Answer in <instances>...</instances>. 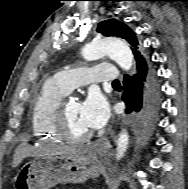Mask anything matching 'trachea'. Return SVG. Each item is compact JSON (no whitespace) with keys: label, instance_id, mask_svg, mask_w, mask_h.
<instances>
[{"label":"trachea","instance_id":"1","mask_svg":"<svg viewBox=\"0 0 188 189\" xmlns=\"http://www.w3.org/2000/svg\"><path fill=\"white\" fill-rule=\"evenodd\" d=\"M112 84H113V85H114V84H120V82H119L118 80H115Z\"/></svg>","mask_w":188,"mask_h":189}]
</instances>
